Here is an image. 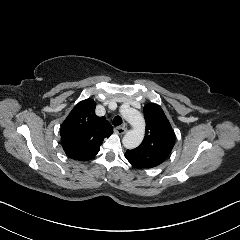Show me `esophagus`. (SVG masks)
Returning <instances> with one entry per match:
<instances>
[{"label":"esophagus","instance_id":"esophagus-1","mask_svg":"<svg viewBox=\"0 0 240 240\" xmlns=\"http://www.w3.org/2000/svg\"><path fill=\"white\" fill-rule=\"evenodd\" d=\"M114 132L119 134V135H122V134L127 132V128L122 127V126H118V127L114 128Z\"/></svg>","mask_w":240,"mask_h":240}]
</instances>
